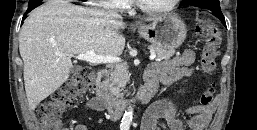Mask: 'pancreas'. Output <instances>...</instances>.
Masks as SVG:
<instances>
[{
    "label": "pancreas",
    "instance_id": "cf45deb5",
    "mask_svg": "<svg viewBox=\"0 0 257 130\" xmlns=\"http://www.w3.org/2000/svg\"><path fill=\"white\" fill-rule=\"evenodd\" d=\"M149 49L155 52L157 60H169L175 54L174 49L162 48L155 45L149 46ZM128 81L129 74L127 66H116L114 72H112L110 76V91L116 97H121L122 93L120 92L124 89Z\"/></svg>",
    "mask_w": 257,
    "mask_h": 130
}]
</instances>
